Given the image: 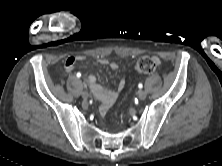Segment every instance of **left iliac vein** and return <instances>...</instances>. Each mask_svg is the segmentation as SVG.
I'll list each match as a JSON object with an SVG mask.
<instances>
[{
  "mask_svg": "<svg viewBox=\"0 0 222 166\" xmlns=\"http://www.w3.org/2000/svg\"><path fill=\"white\" fill-rule=\"evenodd\" d=\"M146 96H147V94H146L145 91L139 90V92H138V98H139L140 100H144V99L146 98Z\"/></svg>",
  "mask_w": 222,
  "mask_h": 166,
  "instance_id": "obj_1",
  "label": "left iliac vein"
}]
</instances>
